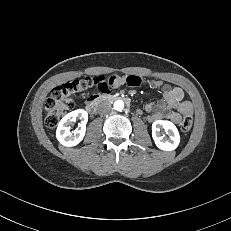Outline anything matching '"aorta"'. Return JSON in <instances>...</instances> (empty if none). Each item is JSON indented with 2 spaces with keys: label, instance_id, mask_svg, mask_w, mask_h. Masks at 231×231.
<instances>
[{
  "label": "aorta",
  "instance_id": "1",
  "mask_svg": "<svg viewBox=\"0 0 231 231\" xmlns=\"http://www.w3.org/2000/svg\"><path fill=\"white\" fill-rule=\"evenodd\" d=\"M124 108V102L122 100H116L114 102V109L117 111H121Z\"/></svg>",
  "mask_w": 231,
  "mask_h": 231
}]
</instances>
